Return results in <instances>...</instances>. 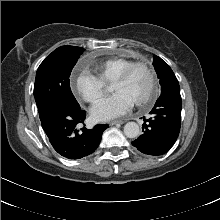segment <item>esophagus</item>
Here are the masks:
<instances>
[{"label": "esophagus", "instance_id": "1", "mask_svg": "<svg viewBox=\"0 0 220 220\" xmlns=\"http://www.w3.org/2000/svg\"><path fill=\"white\" fill-rule=\"evenodd\" d=\"M123 123H125V120H114L110 122V125L123 124Z\"/></svg>", "mask_w": 220, "mask_h": 220}]
</instances>
